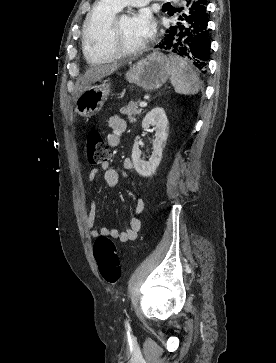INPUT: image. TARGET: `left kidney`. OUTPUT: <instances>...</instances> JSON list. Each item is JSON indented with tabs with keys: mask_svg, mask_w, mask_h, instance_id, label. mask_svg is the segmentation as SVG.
Returning <instances> with one entry per match:
<instances>
[{
	"mask_svg": "<svg viewBox=\"0 0 276 363\" xmlns=\"http://www.w3.org/2000/svg\"><path fill=\"white\" fill-rule=\"evenodd\" d=\"M152 126L155 131L153 139V152L148 161L141 160L139 148L140 137L137 136L132 149V161L137 173L143 177H150L159 166L162 159L163 148L168 137V119L163 108L156 107L144 117L142 127Z\"/></svg>",
	"mask_w": 276,
	"mask_h": 363,
	"instance_id": "left-kidney-1",
	"label": "left kidney"
}]
</instances>
